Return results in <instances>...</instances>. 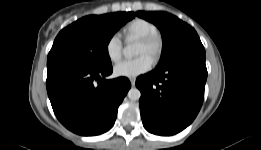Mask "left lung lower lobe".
<instances>
[{
	"instance_id": "obj_1",
	"label": "left lung lower lobe",
	"mask_w": 261,
	"mask_h": 150,
	"mask_svg": "<svg viewBox=\"0 0 261 150\" xmlns=\"http://www.w3.org/2000/svg\"><path fill=\"white\" fill-rule=\"evenodd\" d=\"M207 79L205 49L199 40L176 50L151 72L141 75L136 86L143 125L150 133L170 136L189 126L204 99Z\"/></svg>"
}]
</instances>
